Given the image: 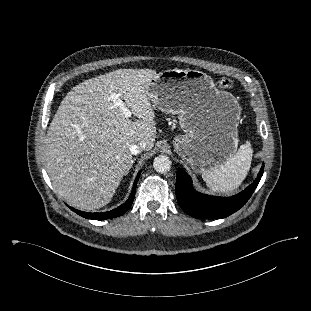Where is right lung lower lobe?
<instances>
[{
    "label": "right lung lower lobe",
    "mask_w": 311,
    "mask_h": 311,
    "mask_svg": "<svg viewBox=\"0 0 311 311\" xmlns=\"http://www.w3.org/2000/svg\"><path fill=\"white\" fill-rule=\"evenodd\" d=\"M140 176V172L137 174L136 179L134 181L133 184V189L132 192L130 194V197L128 198V200L121 206H119L118 208L108 211V212H103V213H88V212H83L80 210H76L72 207L69 206V208L74 211L75 213H77L78 215L87 218V219H94V220H105V219H111V218H115L118 217L120 215H123L132 205L134 196H135V191H136V184L137 181L139 179Z\"/></svg>",
    "instance_id": "1"
}]
</instances>
